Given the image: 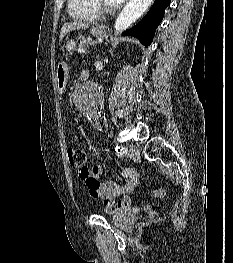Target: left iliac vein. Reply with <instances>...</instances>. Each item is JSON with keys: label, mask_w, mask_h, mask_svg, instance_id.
Listing matches in <instances>:
<instances>
[{"label": "left iliac vein", "mask_w": 233, "mask_h": 263, "mask_svg": "<svg viewBox=\"0 0 233 263\" xmlns=\"http://www.w3.org/2000/svg\"><path fill=\"white\" fill-rule=\"evenodd\" d=\"M128 151H129L128 155H129L130 158H132L134 160L139 159L140 152H139V149H138V147L136 145H133V144L129 145L128 146Z\"/></svg>", "instance_id": "4c4485c4"}]
</instances>
